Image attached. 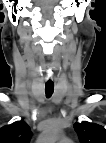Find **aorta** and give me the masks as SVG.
Returning <instances> with one entry per match:
<instances>
[{"label": "aorta", "instance_id": "762f6f07", "mask_svg": "<svg viewBox=\"0 0 106 143\" xmlns=\"http://www.w3.org/2000/svg\"><path fill=\"white\" fill-rule=\"evenodd\" d=\"M58 137V128L57 127H50L48 128L43 136V140L45 142H54Z\"/></svg>", "mask_w": 106, "mask_h": 143}]
</instances>
